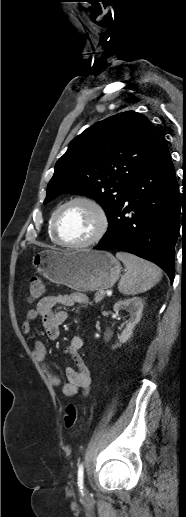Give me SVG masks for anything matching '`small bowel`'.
<instances>
[{
    "label": "small bowel",
    "instance_id": "1",
    "mask_svg": "<svg viewBox=\"0 0 186 517\" xmlns=\"http://www.w3.org/2000/svg\"><path fill=\"white\" fill-rule=\"evenodd\" d=\"M88 303V297L78 292L46 296L38 302L36 307L27 312L26 319L22 324V331L25 334H30L32 323L40 318L47 337L53 341L57 340L60 336L59 327L67 320L68 313L64 310L55 311V306H87ZM82 346V338L75 335L71 338L69 345L64 349L65 354L71 357L77 367V370L73 367L66 368L65 375L67 381L64 382L56 372L45 365L44 360L47 356V349L44 343L37 340L34 344L35 358L41 363L50 385L60 388L63 395L67 397L75 396L80 389L83 395L87 396L92 385L91 372L79 353Z\"/></svg>",
    "mask_w": 186,
    "mask_h": 517
}]
</instances>
